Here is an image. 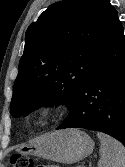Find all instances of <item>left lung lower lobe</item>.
Returning <instances> with one entry per match:
<instances>
[{"label":"left lung lower lobe","instance_id":"1","mask_svg":"<svg viewBox=\"0 0 125 167\" xmlns=\"http://www.w3.org/2000/svg\"><path fill=\"white\" fill-rule=\"evenodd\" d=\"M69 111L57 129L100 131L125 146V37L118 16L102 39Z\"/></svg>","mask_w":125,"mask_h":167}]
</instances>
